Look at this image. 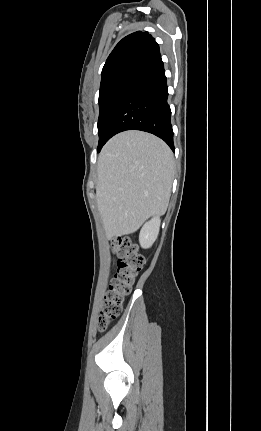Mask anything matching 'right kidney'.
<instances>
[{"instance_id":"obj_1","label":"right kidney","mask_w":261,"mask_h":431,"mask_svg":"<svg viewBox=\"0 0 261 431\" xmlns=\"http://www.w3.org/2000/svg\"><path fill=\"white\" fill-rule=\"evenodd\" d=\"M161 220L155 216L146 222L139 234V243L142 248H149L153 245L158 237Z\"/></svg>"}]
</instances>
